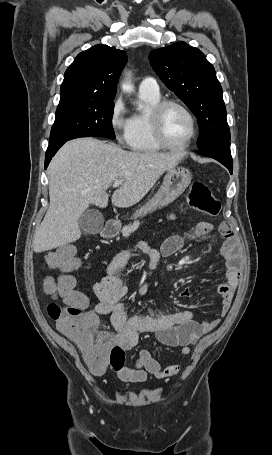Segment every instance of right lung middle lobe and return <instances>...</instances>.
<instances>
[{
  "label": "right lung middle lobe",
  "instance_id": "1",
  "mask_svg": "<svg viewBox=\"0 0 272 455\" xmlns=\"http://www.w3.org/2000/svg\"><path fill=\"white\" fill-rule=\"evenodd\" d=\"M113 110V100L59 102L51 129L50 145L78 137L115 139Z\"/></svg>",
  "mask_w": 272,
  "mask_h": 455
}]
</instances>
